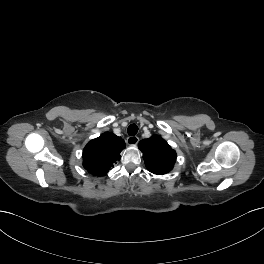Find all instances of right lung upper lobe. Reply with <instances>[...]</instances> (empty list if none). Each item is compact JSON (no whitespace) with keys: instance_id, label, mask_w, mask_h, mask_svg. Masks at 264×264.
Instances as JSON below:
<instances>
[{"instance_id":"1","label":"right lung upper lobe","mask_w":264,"mask_h":264,"mask_svg":"<svg viewBox=\"0 0 264 264\" xmlns=\"http://www.w3.org/2000/svg\"><path fill=\"white\" fill-rule=\"evenodd\" d=\"M124 148L125 142L121 137L106 132L86 145L83 150V166L94 176H104L120 160Z\"/></svg>"}]
</instances>
